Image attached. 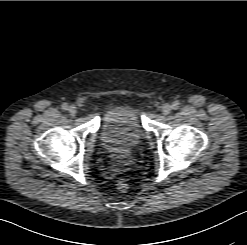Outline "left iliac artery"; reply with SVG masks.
I'll return each mask as SVG.
<instances>
[{
    "label": "left iliac artery",
    "mask_w": 247,
    "mask_h": 245,
    "mask_svg": "<svg viewBox=\"0 0 247 245\" xmlns=\"http://www.w3.org/2000/svg\"><path fill=\"white\" fill-rule=\"evenodd\" d=\"M180 103L178 101H174L172 103V109L177 110L179 108Z\"/></svg>",
    "instance_id": "obj_1"
}]
</instances>
